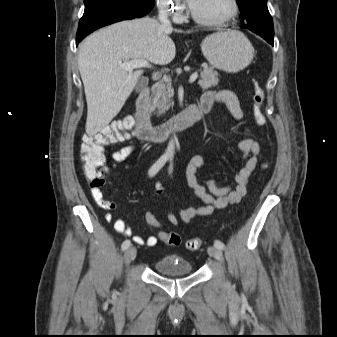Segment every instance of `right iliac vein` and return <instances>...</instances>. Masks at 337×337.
<instances>
[{
  "label": "right iliac vein",
  "mask_w": 337,
  "mask_h": 337,
  "mask_svg": "<svg viewBox=\"0 0 337 337\" xmlns=\"http://www.w3.org/2000/svg\"><path fill=\"white\" fill-rule=\"evenodd\" d=\"M136 248L135 247H129L124 254V261L126 265H129L131 261H133L136 257Z\"/></svg>",
  "instance_id": "obj_1"
}]
</instances>
